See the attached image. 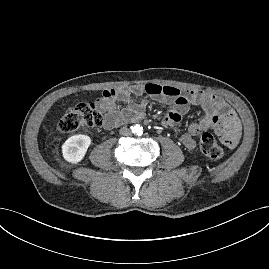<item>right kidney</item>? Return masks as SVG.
<instances>
[{
  "instance_id": "ca27d5eb",
  "label": "right kidney",
  "mask_w": 269,
  "mask_h": 269,
  "mask_svg": "<svg viewBox=\"0 0 269 269\" xmlns=\"http://www.w3.org/2000/svg\"><path fill=\"white\" fill-rule=\"evenodd\" d=\"M91 144L88 135L77 134L69 137L62 145L63 157L66 161L77 164L83 160Z\"/></svg>"
}]
</instances>
